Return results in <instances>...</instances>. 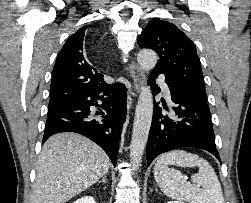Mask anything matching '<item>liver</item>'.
<instances>
[{"label":"liver","instance_id":"1","mask_svg":"<svg viewBox=\"0 0 251 203\" xmlns=\"http://www.w3.org/2000/svg\"><path fill=\"white\" fill-rule=\"evenodd\" d=\"M109 166L106 153L88 138L53 135L39 155L33 203H66L102 178Z\"/></svg>","mask_w":251,"mask_h":203}]
</instances>
